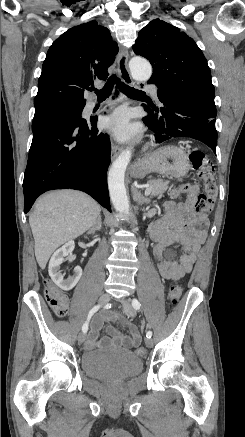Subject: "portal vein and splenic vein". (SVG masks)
<instances>
[{"label": "portal vein and splenic vein", "mask_w": 245, "mask_h": 437, "mask_svg": "<svg viewBox=\"0 0 245 437\" xmlns=\"http://www.w3.org/2000/svg\"><path fill=\"white\" fill-rule=\"evenodd\" d=\"M151 188H152V185H151V184H148V185L146 186L145 196H149V195H150V193H151Z\"/></svg>", "instance_id": "18ae733b"}]
</instances>
